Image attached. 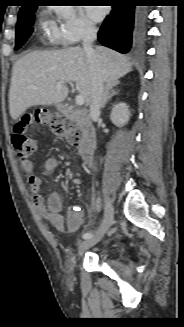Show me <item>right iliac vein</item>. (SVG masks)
I'll use <instances>...</instances> for the list:
<instances>
[{
  "label": "right iliac vein",
  "mask_w": 184,
  "mask_h": 327,
  "mask_svg": "<svg viewBox=\"0 0 184 327\" xmlns=\"http://www.w3.org/2000/svg\"><path fill=\"white\" fill-rule=\"evenodd\" d=\"M113 218H114V207L109 201H107L104 218H103V221H102L99 229L92 237L86 239L85 241H83L80 244L79 250H78L79 255L83 254V252L85 250L94 246L101 240V238L104 236V234L107 232V230L111 226V224L113 222Z\"/></svg>",
  "instance_id": "1"
}]
</instances>
